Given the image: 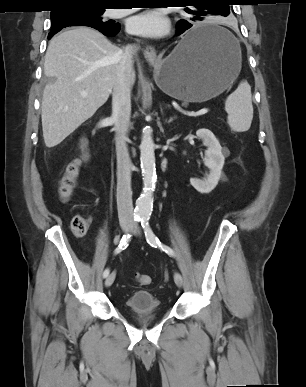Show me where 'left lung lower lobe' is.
Wrapping results in <instances>:
<instances>
[{"label":"left lung lower lobe","instance_id":"0a47b994","mask_svg":"<svg viewBox=\"0 0 306 387\" xmlns=\"http://www.w3.org/2000/svg\"><path fill=\"white\" fill-rule=\"evenodd\" d=\"M192 27V24L181 20L177 23V35H180L184 33L186 30ZM223 33L219 30H205V31H196L192 32V29L185 33L184 39H185V46L187 48L194 47L197 45H200L202 43L211 42V41H217V40H223Z\"/></svg>","mask_w":306,"mask_h":387}]
</instances>
